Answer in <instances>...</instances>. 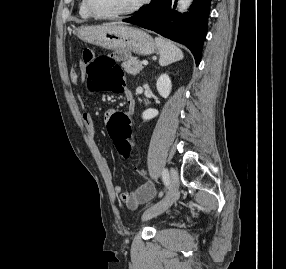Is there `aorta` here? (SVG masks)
<instances>
[{
	"mask_svg": "<svg viewBox=\"0 0 286 269\" xmlns=\"http://www.w3.org/2000/svg\"><path fill=\"white\" fill-rule=\"evenodd\" d=\"M193 0H179L178 1V6H177V10L179 12H185L187 11V9L189 8V6L191 5Z\"/></svg>",
	"mask_w": 286,
	"mask_h": 269,
	"instance_id": "762f6f07",
	"label": "aorta"
}]
</instances>
